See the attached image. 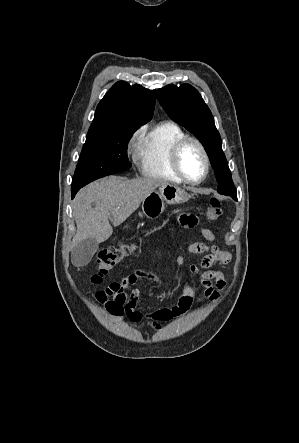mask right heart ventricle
Returning a JSON list of instances; mask_svg holds the SVG:
<instances>
[{
    "instance_id": "e07e8e85",
    "label": "right heart ventricle",
    "mask_w": 299,
    "mask_h": 443,
    "mask_svg": "<svg viewBox=\"0 0 299 443\" xmlns=\"http://www.w3.org/2000/svg\"><path fill=\"white\" fill-rule=\"evenodd\" d=\"M185 136L181 126L173 121H163L152 127L137 148L141 173L154 179L183 182L172 167L171 153L173 146Z\"/></svg>"
}]
</instances>
